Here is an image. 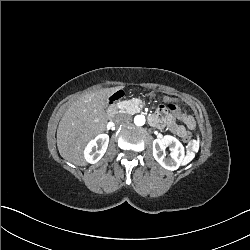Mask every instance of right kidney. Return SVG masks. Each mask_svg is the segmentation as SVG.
Returning a JSON list of instances; mask_svg holds the SVG:
<instances>
[{
    "instance_id": "obj_1",
    "label": "right kidney",
    "mask_w": 250,
    "mask_h": 250,
    "mask_svg": "<svg viewBox=\"0 0 250 250\" xmlns=\"http://www.w3.org/2000/svg\"><path fill=\"white\" fill-rule=\"evenodd\" d=\"M108 143L109 136L107 134L97 135L95 139L91 140L84 149L85 160L90 164L97 163L105 154Z\"/></svg>"
}]
</instances>
